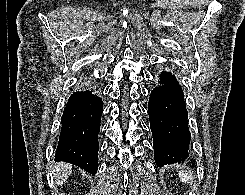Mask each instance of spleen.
Returning <instances> with one entry per match:
<instances>
[{"mask_svg": "<svg viewBox=\"0 0 245 195\" xmlns=\"http://www.w3.org/2000/svg\"><path fill=\"white\" fill-rule=\"evenodd\" d=\"M179 177L182 180V182L186 183L191 180V174L190 173H179Z\"/></svg>", "mask_w": 245, "mask_h": 195, "instance_id": "spleen-1", "label": "spleen"}]
</instances>
